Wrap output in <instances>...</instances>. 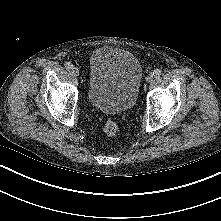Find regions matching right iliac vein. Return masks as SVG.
I'll return each mask as SVG.
<instances>
[{
	"label": "right iliac vein",
	"mask_w": 221,
	"mask_h": 221,
	"mask_svg": "<svg viewBox=\"0 0 221 221\" xmlns=\"http://www.w3.org/2000/svg\"><path fill=\"white\" fill-rule=\"evenodd\" d=\"M71 73H72L73 76H76V77L79 76V70L77 68H73L71 70Z\"/></svg>",
	"instance_id": "1"
}]
</instances>
